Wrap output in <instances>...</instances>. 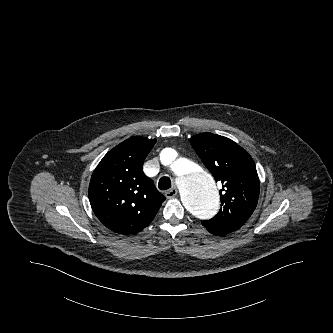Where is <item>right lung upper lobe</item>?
<instances>
[{"label":"right lung upper lobe","mask_w":333,"mask_h":333,"mask_svg":"<svg viewBox=\"0 0 333 333\" xmlns=\"http://www.w3.org/2000/svg\"><path fill=\"white\" fill-rule=\"evenodd\" d=\"M155 143V139L131 137L109 151L92 174L89 200L93 212L116 233L142 231L165 200L142 170Z\"/></svg>","instance_id":"1"}]
</instances>
